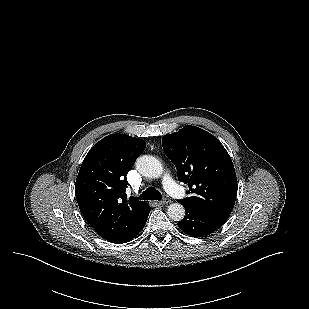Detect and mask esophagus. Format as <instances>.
<instances>
[{
	"label": "esophagus",
	"instance_id": "34e87169",
	"mask_svg": "<svg viewBox=\"0 0 309 309\" xmlns=\"http://www.w3.org/2000/svg\"><path fill=\"white\" fill-rule=\"evenodd\" d=\"M171 203L169 198H164L163 200L159 201V204L165 205Z\"/></svg>",
	"mask_w": 309,
	"mask_h": 309
}]
</instances>
